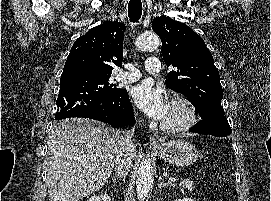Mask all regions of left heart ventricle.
<instances>
[{
    "instance_id": "b2bd125f",
    "label": "left heart ventricle",
    "mask_w": 271,
    "mask_h": 201,
    "mask_svg": "<svg viewBox=\"0 0 271 201\" xmlns=\"http://www.w3.org/2000/svg\"><path fill=\"white\" fill-rule=\"evenodd\" d=\"M182 118H183L182 111L177 107L170 106L169 113L164 122L174 124L180 122Z\"/></svg>"
}]
</instances>
